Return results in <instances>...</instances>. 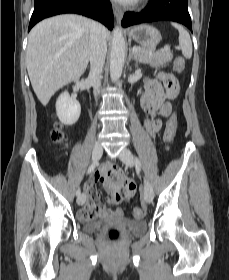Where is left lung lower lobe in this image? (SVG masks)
I'll list each match as a JSON object with an SVG mask.
<instances>
[{
    "instance_id": "left-lung-lower-lobe-1",
    "label": "left lung lower lobe",
    "mask_w": 229,
    "mask_h": 280,
    "mask_svg": "<svg viewBox=\"0 0 229 280\" xmlns=\"http://www.w3.org/2000/svg\"><path fill=\"white\" fill-rule=\"evenodd\" d=\"M159 20L175 21L184 24L192 31L187 0H150L141 13L127 12L122 20V26L128 27Z\"/></svg>"
}]
</instances>
